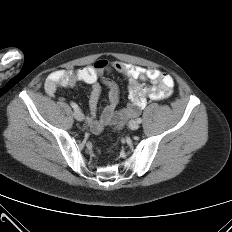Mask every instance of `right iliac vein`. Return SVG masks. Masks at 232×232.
<instances>
[{
  "label": "right iliac vein",
  "mask_w": 232,
  "mask_h": 232,
  "mask_svg": "<svg viewBox=\"0 0 232 232\" xmlns=\"http://www.w3.org/2000/svg\"><path fill=\"white\" fill-rule=\"evenodd\" d=\"M73 115L77 121H83L84 119V114L80 110H75Z\"/></svg>",
  "instance_id": "right-iliac-vein-1"
}]
</instances>
